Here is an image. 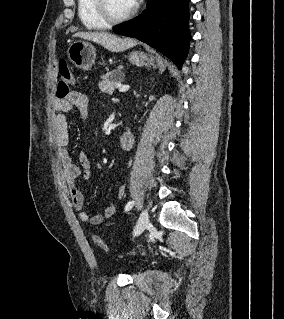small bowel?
<instances>
[{"instance_id": "small-bowel-1", "label": "small bowel", "mask_w": 284, "mask_h": 319, "mask_svg": "<svg viewBox=\"0 0 284 319\" xmlns=\"http://www.w3.org/2000/svg\"><path fill=\"white\" fill-rule=\"evenodd\" d=\"M55 113L53 116L54 141L59 148V157L63 171L66 176L70 196L74 209L81 221L93 225L102 223L105 219L112 218L117 211L114 204L106 207L103 214L89 215L84 209V195L77 183L80 177L88 179L91 174V162L85 153H80L77 165L67 149L69 144L68 122L65 114L77 109L82 118L86 117L88 110V98L79 91H71L65 98H56L54 101ZM125 195V187L120 186L117 190V198L121 199Z\"/></svg>"}]
</instances>
